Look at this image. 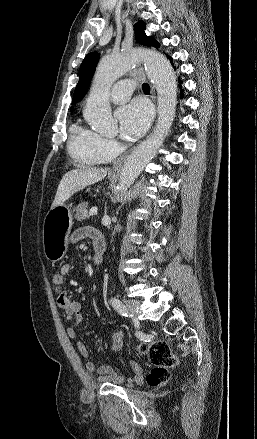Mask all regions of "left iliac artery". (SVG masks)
<instances>
[{"instance_id":"1","label":"left iliac artery","mask_w":257,"mask_h":439,"mask_svg":"<svg viewBox=\"0 0 257 439\" xmlns=\"http://www.w3.org/2000/svg\"><path fill=\"white\" fill-rule=\"evenodd\" d=\"M112 306L114 309L121 314L122 316H128V312L126 310V307L124 304L116 297L112 298L111 300Z\"/></svg>"}]
</instances>
